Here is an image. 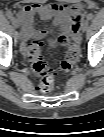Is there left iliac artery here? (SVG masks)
Listing matches in <instances>:
<instances>
[{"label": "left iliac artery", "mask_w": 104, "mask_h": 137, "mask_svg": "<svg viewBox=\"0 0 104 137\" xmlns=\"http://www.w3.org/2000/svg\"><path fill=\"white\" fill-rule=\"evenodd\" d=\"M94 18V15L92 13L88 14L87 15V19L88 20H92Z\"/></svg>", "instance_id": "left-iliac-artery-1"}]
</instances>
